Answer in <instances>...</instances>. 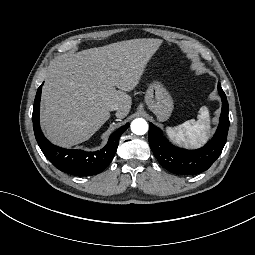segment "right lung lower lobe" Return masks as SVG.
Segmentation results:
<instances>
[{"label": "right lung lower lobe", "instance_id": "right-lung-lower-lobe-1", "mask_svg": "<svg viewBox=\"0 0 255 255\" xmlns=\"http://www.w3.org/2000/svg\"><path fill=\"white\" fill-rule=\"evenodd\" d=\"M42 85L38 88L33 107V128L36 140L46 158L59 170L77 176H90L102 172L113 159L119 138L129 127L122 126L110 136L107 145L96 152L64 149L50 143L42 134L39 124V108Z\"/></svg>", "mask_w": 255, "mask_h": 255}]
</instances>
